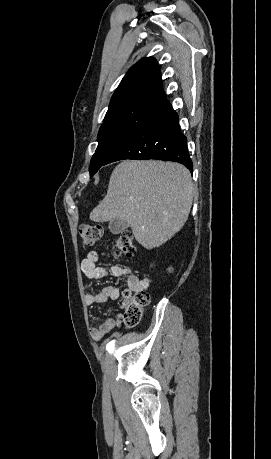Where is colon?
Listing matches in <instances>:
<instances>
[{
    "instance_id": "1",
    "label": "colon",
    "mask_w": 271,
    "mask_h": 459,
    "mask_svg": "<svg viewBox=\"0 0 271 459\" xmlns=\"http://www.w3.org/2000/svg\"><path fill=\"white\" fill-rule=\"evenodd\" d=\"M82 243L86 247L94 246L103 240V229L98 225L82 224L79 227ZM114 254L117 256L132 257L135 254L134 238L130 231L125 230L115 240ZM149 302V295L145 291L124 292V320L128 326L139 323L143 309Z\"/></svg>"
}]
</instances>
